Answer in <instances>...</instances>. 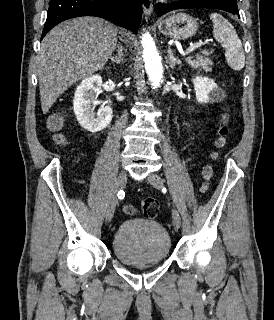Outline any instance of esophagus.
<instances>
[{"instance_id": "obj_1", "label": "esophagus", "mask_w": 274, "mask_h": 320, "mask_svg": "<svg viewBox=\"0 0 274 320\" xmlns=\"http://www.w3.org/2000/svg\"><path fill=\"white\" fill-rule=\"evenodd\" d=\"M145 17H149L153 12V0H141Z\"/></svg>"}]
</instances>
